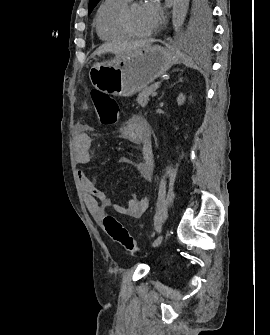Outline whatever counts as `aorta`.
Returning <instances> with one entry per match:
<instances>
[{"mask_svg": "<svg viewBox=\"0 0 270 335\" xmlns=\"http://www.w3.org/2000/svg\"><path fill=\"white\" fill-rule=\"evenodd\" d=\"M189 0H174L172 10V24L175 32H178L179 26H182L188 10Z\"/></svg>", "mask_w": 270, "mask_h": 335, "instance_id": "1", "label": "aorta"}]
</instances>
